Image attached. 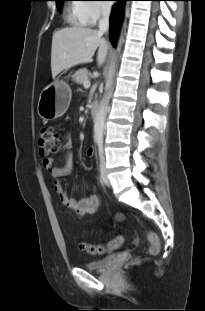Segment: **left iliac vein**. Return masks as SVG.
<instances>
[{
    "label": "left iliac vein",
    "instance_id": "left-iliac-vein-1",
    "mask_svg": "<svg viewBox=\"0 0 205 311\" xmlns=\"http://www.w3.org/2000/svg\"><path fill=\"white\" fill-rule=\"evenodd\" d=\"M100 180L103 184L109 186L110 181L107 177V172H106V163H105V158L103 155L100 157Z\"/></svg>",
    "mask_w": 205,
    "mask_h": 311
}]
</instances>
